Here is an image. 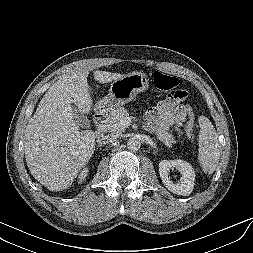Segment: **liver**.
<instances>
[{"instance_id":"liver-1","label":"liver","mask_w":253,"mask_h":253,"mask_svg":"<svg viewBox=\"0 0 253 253\" xmlns=\"http://www.w3.org/2000/svg\"><path fill=\"white\" fill-rule=\"evenodd\" d=\"M88 75L89 70L82 69L62 76L45 93L26 126L27 166L51 191L70 187L95 150V132L80 131L73 109L82 114L92 110ZM93 76L99 83H108L124 75L97 70Z\"/></svg>"}]
</instances>
